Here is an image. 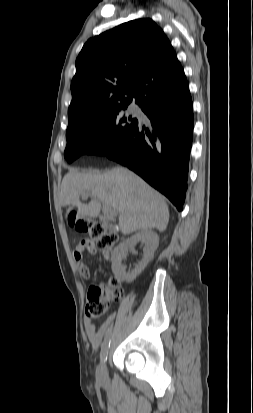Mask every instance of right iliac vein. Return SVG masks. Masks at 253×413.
<instances>
[{"label": "right iliac vein", "mask_w": 253, "mask_h": 413, "mask_svg": "<svg viewBox=\"0 0 253 413\" xmlns=\"http://www.w3.org/2000/svg\"><path fill=\"white\" fill-rule=\"evenodd\" d=\"M96 376L97 379L101 382H105L108 379V375H107V369H106V365L104 362H102L96 371Z\"/></svg>", "instance_id": "1"}]
</instances>
